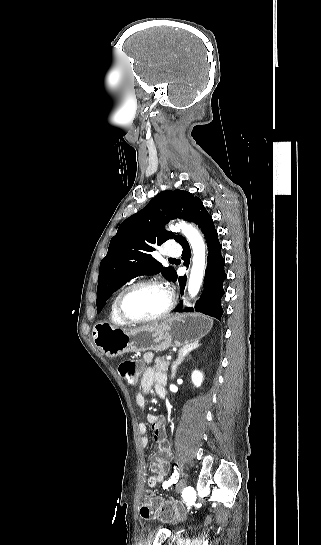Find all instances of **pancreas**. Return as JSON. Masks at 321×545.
Listing matches in <instances>:
<instances>
[{
  "label": "pancreas",
  "mask_w": 321,
  "mask_h": 545,
  "mask_svg": "<svg viewBox=\"0 0 321 545\" xmlns=\"http://www.w3.org/2000/svg\"><path fill=\"white\" fill-rule=\"evenodd\" d=\"M169 365V361H165V359H156L154 369L159 373H167Z\"/></svg>",
  "instance_id": "1"
}]
</instances>
